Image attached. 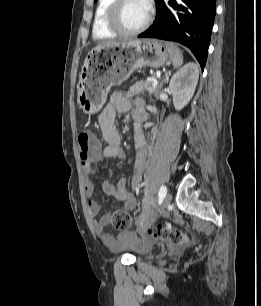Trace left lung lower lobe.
Returning <instances> with one entry per match:
<instances>
[{
    "instance_id": "left-lung-lower-lobe-1",
    "label": "left lung lower lobe",
    "mask_w": 261,
    "mask_h": 306,
    "mask_svg": "<svg viewBox=\"0 0 261 306\" xmlns=\"http://www.w3.org/2000/svg\"><path fill=\"white\" fill-rule=\"evenodd\" d=\"M153 25L139 38H159L187 46L203 69L215 18L216 0H155Z\"/></svg>"
}]
</instances>
